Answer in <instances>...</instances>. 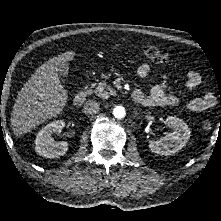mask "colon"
<instances>
[{
	"label": "colon",
	"mask_w": 221,
	"mask_h": 221,
	"mask_svg": "<svg viewBox=\"0 0 221 221\" xmlns=\"http://www.w3.org/2000/svg\"><path fill=\"white\" fill-rule=\"evenodd\" d=\"M142 54L145 58L155 63H167L170 61V54L168 51L160 49L156 46H145L142 48ZM212 124L209 121L203 123L205 129H210Z\"/></svg>",
	"instance_id": "obj_1"
}]
</instances>
